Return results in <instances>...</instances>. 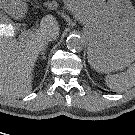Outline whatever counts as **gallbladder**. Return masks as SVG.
<instances>
[{
  "mask_svg": "<svg viewBox=\"0 0 135 135\" xmlns=\"http://www.w3.org/2000/svg\"><path fill=\"white\" fill-rule=\"evenodd\" d=\"M4 17H5L4 12L0 10V24L1 23H5V24L7 23L6 20H3Z\"/></svg>",
  "mask_w": 135,
  "mask_h": 135,
  "instance_id": "bac80fb5",
  "label": "gallbladder"
}]
</instances>
